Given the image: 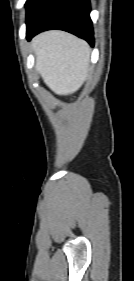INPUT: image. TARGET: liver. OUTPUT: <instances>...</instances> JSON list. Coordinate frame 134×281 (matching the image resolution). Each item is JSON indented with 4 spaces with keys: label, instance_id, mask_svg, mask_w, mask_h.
Masks as SVG:
<instances>
[{
    "label": "liver",
    "instance_id": "obj_1",
    "mask_svg": "<svg viewBox=\"0 0 134 281\" xmlns=\"http://www.w3.org/2000/svg\"><path fill=\"white\" fill-rule=\"evenodd\" d=\"M36 70L44 83L57 95L76 92L84 83L90 59V47L63 31H47L32 41Z\"/></svg>",
    "mask_w": 134,
    "mask_h": 281
}]
</instances>
